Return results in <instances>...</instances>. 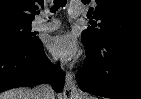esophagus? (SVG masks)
<instances>
[{"label":"esophagus","mask_w":141,"mask_h":99,"mask_svg":"<svg viewBox=\"0 0 141 99\" xmlns=\"http://www.w3.org/2000/svg\"><path fill=\"white\" fill-rule=\"evenodd\" d=\"M65 98H72L78 94V88L74 76L67 72L65 76V86L63 91Z\"/></svg>","instance_id":"1"}]
</instances>
